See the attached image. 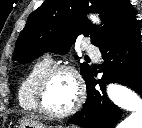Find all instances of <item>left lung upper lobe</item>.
Returning a JSON list of instances; mask_svg holds the SVG:
<instances>
[{
    "label": "left lung upper lobe",
    "instance_id": "obj_1",
    "mask_svg": "<svg viewBox=\"0 0 142 128\" xmlns=\"http://www.w3.org/2000/svg\"><path fill=\"white\" fill-rule=\"evenodd\" d=\"M86 12L99 13L104 25H92ZM135 16L129 0H45L29 15L12 60L24 64L47 51L65 54L80 35L103 47L137 24ZM80 71L85 81L92 72L87 63Z\"/></svg>",
    "mask_w": 142,
    "mask_h": 128
}]
</instances>
